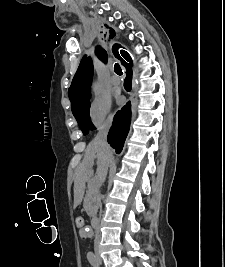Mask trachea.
Returning <instances> with one entry per match:
<instances>
[{"label": "trachea", "instance_id": "3493384b", "mask_svg": "<svg viewBox=\"0 0 225 267\" xmlns=\"http://www.w3.org/2000/svg\"><path fill=\"white\" fill-rule=\"evenodd\" d=\"M114 71H115V73L118 74V75H121V74H122V69H121V67H120V65H119L118 63H116V64L114 65Z\"/></svg>", "mask_w": 225, "mask_h": 267}]
</instances>
